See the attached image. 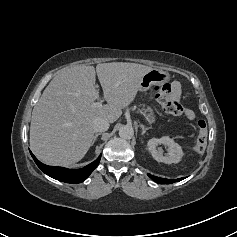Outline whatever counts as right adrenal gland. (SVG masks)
Masks as SVG:
<instances>
[{
    "label": "right adrenal gland",
    "instance_id": "2a0ac1e0",
    "mask_svg": "<svg viewBox=\"0 0 237 237\" xmlns=\"http://www.w3.org/2000/svg\"><path fill=\"white\" fill-rule=\"evenodd\" d=\"M99 135H101V133H96V134L94 135L92 145L95 143V141L97 140V137H98Z\"/></svg>",
    "mask_w": 237,
    "mask_h": 237
}]
</instances>
